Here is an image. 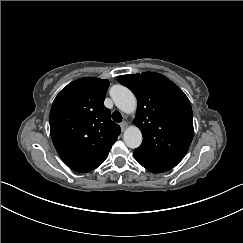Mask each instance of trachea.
Wrapping results in <instances>:
<instances>
[{"instance_id":"3493384b","label":"trachea","mask_w":243,"mask_h":243,"mask_svg":"<svg viewBox=\"0 0 243 243\" xmlns=\"http://www.w3.org/2000/svg\"><path fill=\"white\" fill-rule=\"evenodd\" d=\"M112 118L115 122L119 123L122 121L123 117L119 111H115L112 113Z\"/></svg>"}]
</instances>
